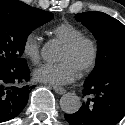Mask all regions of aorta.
<instances>
[{
    "label": "aorta",
    "mask_w": 125,
    "mask_h": 125,
    "mask_svg": "<svg viewBox=\"0 0 125 125\" xmlns=\"http://www.w3.org/2000/svg\"><path fill=\"white\" fill-rule=\"evenodd\" d=\"M41 56L47 62H54L59 56V45L55 41H48L41 49ZM61 109L68 114H73L81 107L79 96L75 93H66L60 99Z\"/></svg>",
    "instance_id": "aorta-1"
}]
</instances>
